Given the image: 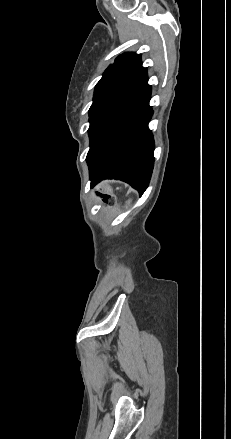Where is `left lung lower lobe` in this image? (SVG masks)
Wrapping results in <instances>:
<instances>
[{
	"label": "left lung lower lobe",
	"mask_w": 231,
	"mask_h": 439,
	"mask_svg": "<svg viewBox=\"0 0 231 439\" xmlns=\"http://www.w3.org/2000/svg\"><path fill=\"white\" fill-rule=\"evenodd\" d=\"M148 79L124 97L90 130L87 154L91 186L104 179H120L146 190L154 164V139L148 128L153 111L149 106Z\"/></svg>",
	"instance_id": "0a47b994"
}]
</instances>
